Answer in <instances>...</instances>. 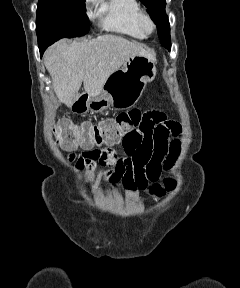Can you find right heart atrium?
<instances>
[{
	"instance_id": "d8ad5b80",
	"label": "right heart atrium",
	"mask_w": 240,
	"mask_h": 288,
	"mask_svg": "<svg viewBox=\"0 0 240 288\" xmlns=\"http://www.w3.org/2000/svg\"><path fill=\"white\" fill-rule=\"evenodd\" d=\"M97 0H85V6L86 9L89 10L95 3Z\"/></svg>"
}]
</instances>
